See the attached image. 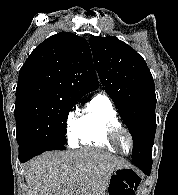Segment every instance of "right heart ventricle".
<instances>
[{"label":"right heart ventricle","instance_id":"right-heart-ventricle-1","mask_svg":"<svg viewBox=\"0 0 178 195\" xmlns=\"http://www.w3.org/2000/svg\"><path fill=\"white\" fill-rule=\"evenodd\" d=\"M120 124L117 111L104 94L95 95L84 109L79 123L78 142L110 152H118L108 139V131Z\"/></svg>","mask_w":178,"mask_h":195}]
</instances>
